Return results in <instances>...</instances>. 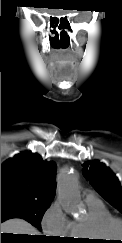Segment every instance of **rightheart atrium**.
Wrapping results in <instances>:
<instances>
[{
	"instance_id": "obj_1",
	"label": "right heart atrium",
	"mask_w": 122,
	"mask_h": 243,
	"mask_svg": "<svg viewBox=\"0 0 122 243\" xmlns=\"http://www.w3.org/2000/svg\"><path fill=\"white\" fill-rule=\"evenodd\" d=\"M70 220L60 201H55L45 212L41 225L43 231L51 236L64 238L69 234Z\"/></svg>"
}]
</instances>
